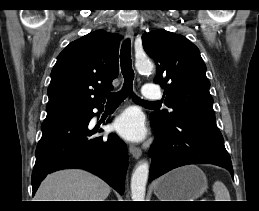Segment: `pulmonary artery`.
Listing matches in <instances>:
<instances>
[{
    "label": "pulmonary artery",
    "instance_id": "e3ab8cb5",
    "mask_svg": "<svg viewBox=\"0 0 259 211\" xmlns=\"http://www.w3.org/2000/svg\"><path fill=\"white\" fill-rule=\"evenodd\" d=\"M143 97L148 100H158L162 97V93L154 84L148 83L143 87Z\"/></svg>",
    "mask_w": 259,
    "mask_h": 211
}]
</instances>
